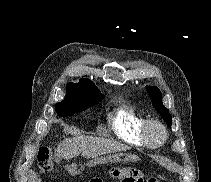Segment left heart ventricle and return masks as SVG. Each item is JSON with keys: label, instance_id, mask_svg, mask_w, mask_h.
Wrapping results in <instances>:
<instances>
[{"label": "left heart ventricle", "instance_id": "1", "mask_svg": "<svg viewBox=\"0 0 211 182\" xmlns=\"http://www.w3.org/2000/svg\"><path fill=\"white\" fill-rule=\"evenodd\" d=\"M150 137L153 140H160L162 138V133H161V131L158 128H153L150 131Z\"/></svg>", "mask_w": 211, "mask_h": 182}]
</instances>
